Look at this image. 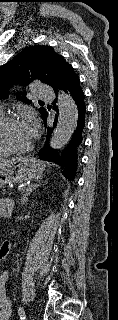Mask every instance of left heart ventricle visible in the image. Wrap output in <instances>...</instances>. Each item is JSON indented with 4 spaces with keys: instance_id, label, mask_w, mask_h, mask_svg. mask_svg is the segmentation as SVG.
Masks as SVG:
<instances>
[{
    "instance_id": "left-heart-ventricle-1",
    "label": "left heart ventricle",
    "mask_w": 118,
    "mask_h": 320,
    "mask_svg": "<svg viewBox=\"0 0 118 320\" xmlns=\"http://www.w3.org/2000/svg\"><path fill=\"white\" fill-rule=\"evenodd\" d=\"M3 138L13 148H25L32 142L29 126L25 122L8 125L3 131Z\"/></svg>"
}]
</instances>
